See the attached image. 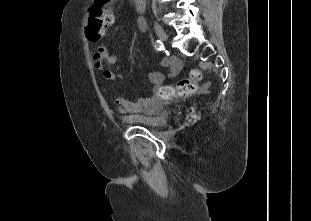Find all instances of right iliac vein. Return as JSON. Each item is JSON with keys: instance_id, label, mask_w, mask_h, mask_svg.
Instances as JSON below:
<instances>
[{"instance_id": "right-iliac-vein-1", "label": "right iliac vein", "mask_w": 311, "mask_h": 221, "mask_svg": "<svg viewBox=\"0 0 311 221\" xmlns=\"http://www.w3.org/2000/svg\"><path fill=\"white\" fill-rule=\"evenodd\" d=\"M154 28H155V32L157 37L162 41V42H166L168 39V36L165 32V30L162 28V26L158 23L154 24Z\"/></svg>"}]
</instances>
